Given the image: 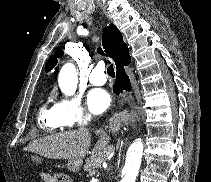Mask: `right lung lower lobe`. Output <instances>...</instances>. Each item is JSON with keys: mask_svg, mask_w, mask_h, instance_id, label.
<instances>
[{"mask_svg": "<svg viewBox=\"0 0 211 182\" xmlns=\"http://www.w3.org/2000/svg\"><path fill=\"white\" fill-rule=\"evenodd\" d=\"M130 63V56L129 50L126 46L125 51L119 58V60L115 63L116 64V76L117 79L115 80V84L113 86V91L116 95L122 93L123 90L130 91L131 85L128 75L125 72L124 65H128Z\"/></svg>", "mask_w": 211, "mask_h": 182, "instance_id": "obj_1", "label": "right lung lower lobe"}]
</instances>
